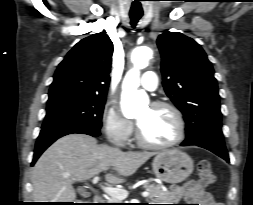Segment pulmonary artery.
Instances as JSON below:
<instances>
[{"label": "pulmonary artery", "instance_id": "obj_1", "mask_svg": "<svg viewBox=\"0 0 253 205\" xmlns=\"http://www.w3.org/2000/svg\"><path fill=\"white\" fill-rule=\"evenodd\" d=\"M141 86L148 90L154 91L158 86V77L153 71H146L141 78Z\"/></svg>", "mask_w": 253, "mask_h": 205}]
</instances>
